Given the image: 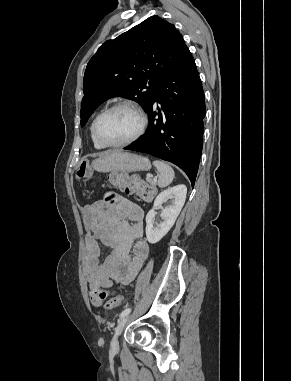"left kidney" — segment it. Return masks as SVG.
<instances>
[{
  "instance_id": "1",
  "label": "left kidney",
  "mask_w": 291,
  "mask_h": 381,
  "mask_svg": "<svg viewBox=\"0 0 291 381\" xmlns=\"http://www.w3.org/2000/svg\"><path fill=\"white\" fill-rule=\"evenodd\" d=\"M187 187L183 184L162 191L155 199L153 208L146 215V236L151 244L159 242L174 225L185 203ZM170 200V205L164 208L160 214L162 221L154 226L155 215L159 207Z\"/></svg>"
}]
</instances>
